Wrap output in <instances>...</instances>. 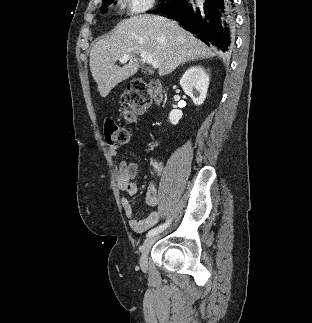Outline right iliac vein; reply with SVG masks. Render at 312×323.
<instances>
[{"label":"right iliac vein","instance_id":"right-iliac-vein-1","mask_svg":"<svg viewBox=\"0 0 312 323\" xmlns=\"http://www.w3.org/2000/svg\"><path fill=\"white\" fill-rule=\"evenodd\" d=\"M156 240V237L154 236H151V237H148L144 243H143V246H142V253H141V258H140V266L143 270H146L147 269V257H148V253L152 247V245L154 244Z\"/></svg>","mask_w":312,"mask_h":323}]
</instances>
